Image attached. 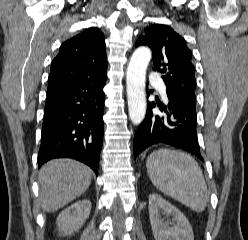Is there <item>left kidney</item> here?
<instances>
[{
	"instance_id": "left-kidney-1",
	"label": "left kidney",
	"mask_w": 248,
	"mask_h": 240,
	"mask_svg": "<svg viewBox=\"0 0 248 240\" xmlns=\"http://www.w3.org/2000/svg\"><path fill=\"white\" fill-rule=\"evenodd\" d=\"M162 215L171 216L172 220L164 221ZM149 217L155 240H194L184 214L157 194L149 196Z\"/></svg>"
}]
</instances>
